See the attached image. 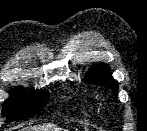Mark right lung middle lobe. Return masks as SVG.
Instances as JSON below:
<instances>
[{
  "label": "right lung middle lobe",
  "mask_w": 147,
  "mask_h": 131,
  "mask_svg": "<svg viewBox=\"0 0 147 131\" xmlns=\"http://www.w3.org/2000/svg\"><path fill=\"white\" fill-rule=\"evenodd\" d=\"M48 98L47 93L16 89L4 102L2 114L7 117L8 121L37 114L44 108Z\"/></svg>",
  "instance_id": "1"
}]
</instances>
